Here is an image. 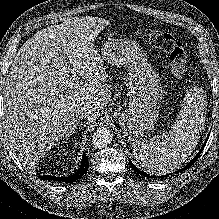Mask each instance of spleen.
I'll return each instance as SVG.
<instances>
[{
  "label": "spleen",
  "mask_w": 219,
  "mask_h": 219,
  "mask_svg": "<svg viewBox=\"0 0 219 219\" xmlns=\"http://www.w3.org/2000/svg\"><path fill=\"white\" fill-rule=\"evenodd\" d=\"M199 88L191 89L171 130L155 140L132 143L137 162L153 174H167L187 160L197 146L205 120V96Z\"/></svg>",
  "instance_id": "obj_1"
}]
</instances>
